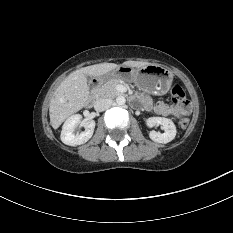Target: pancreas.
Instances as JSON below:
<instances>
[{
	"label": "pancreas",
	"instance_id": "1",
	"mask_svg": "<svg viewBox=\"0 0 233 233\" xmlns=\"http://www.w3.org/2000/svg\"><path fill=\"white\" fill-rule=\"evenodd\" d=\"M120 83H123L120 79H112L101 87L94 90V96L96 98H115L118 95H121L119 91H117L116 86Z\"/></svg>",
	"mask_w": 233,
	"mask_h": 233
}]
</instances>
